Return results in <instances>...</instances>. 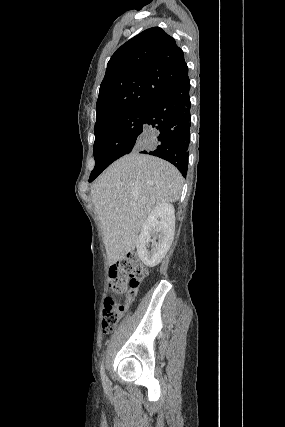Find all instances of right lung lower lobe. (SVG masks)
I'll return each mask as SVG.
<instances>
[{"instance_id":"obj_1","label":"right lung lower lobe","mask_w":285,"mask_h":427,"mask_svg":"<svg viewBox=\"0 0 285 427\" xmlns=\"http://www.w3.org/2000/svg\"><path fill=\"white\" fill-rule=\"evenodd\" d=\"M190 80L161 94L146 105L147 113L137 150L160 157L176 166L183 177L188 169L190 143ZM99 173L94 175L93 181Z\"/></svg>"}]
</instances>
